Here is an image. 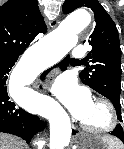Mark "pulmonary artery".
Instances as JSON below:
<instances>
[{
  "instance_id": "e3ab8cb5",
  "label": "pulmonary artery",
  "mask_w": 124,
  "mask_h": 149,
  "mask_svg": "<svg viewBox=\"0 0 124 149\" xmlns=\"http://www.w3.org/2000/svg\"><path fill=\"white\" fill-rule=\"evenodd\" d=\"M72 56L76 59H82L85 56V46L83 44H78L72 50Z\"/></svg>"
}]
</instances>
